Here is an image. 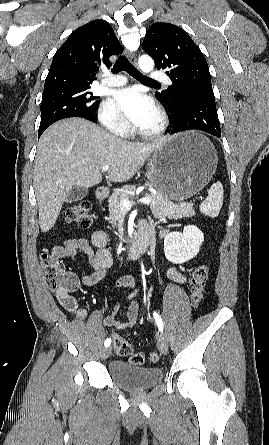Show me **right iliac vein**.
Wrapping results in <instances>:
<instances>
[{
	"label": "right iliac vein",
	"mask_w": 269,
	"mask_h": 445,
	"mask_svg": "<svg viewBox=\"0 0 269 445\" xmlns=\"http://www.w3.org/2000/svg\"><path fill=\"white\" fill-rule=\"evenodd\" d=\"M111 353V347H106L101 352V358L103 360L107 359Z\"/></svg>",
	"instance_id": "right-iliac-vein-1"
}]
</instances>
